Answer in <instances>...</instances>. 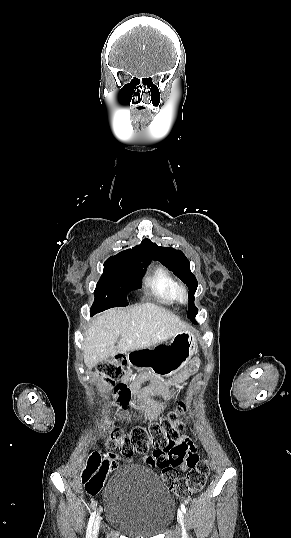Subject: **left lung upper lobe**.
Masks as SVG:
<instances>
[{"label":"left lung upper lobe","mask_w":291,"mask_h":538,"mask_svg":"<svg viewBox=\"0 0 291 538\" xmlns=\"http://www.w3.org/2000/svg\"><path fill=\"white\" fill-rule=\"evenodd\" d=\"M154 258L180 278L189 289L188 318L193 322L198 309L194 305V294L198 282L195 275L190 271V262L182 251L172 247H159L153 243Z\"/></svg>","instance_id":"5c2ea615"}]
</instances>
